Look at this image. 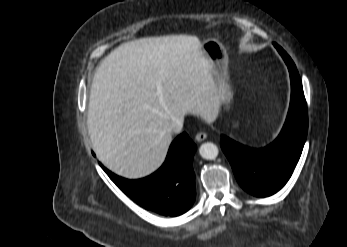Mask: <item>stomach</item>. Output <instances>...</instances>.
<instances>
[{"mask_svg": "<svg viewBox=\"0 0 347 247\" xmlns=\"http://www.w3.org/2000/svg\"><path fill=\"white\" fill-rule=\"evenodd\" d=\"M203 55L212 63L219 72V84H224L225 93L221 101L227 111L232 109L233 89L228 75V54L222 43L215 39H208L201 46Z\"/></svg>", "mask_w": 347, "mask_h": 247, "instance_id": "1", "label": "stomach"}]
</instances>
